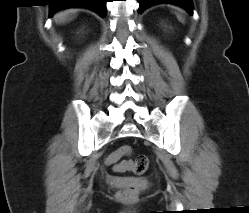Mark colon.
<instances>
[{
    "instance_id": "colon-1",
    "label": "colon",
    "mask_w": 249,
    "mask_h": 213,
    "mask_svg": "<svg viewBox=\"0 0 249 213\" xmlns=\"http://www.w3.org/2000/svg\"><path fill=\"white\" fill-rule=\"evenodd\" d=\"M130 153V146H121L108 155V157L106 158V163L113 164L114 170L118 172L131 171L136 175L143 174L149 166L148 157L141 155L138 156L134 161H119L122 156ZM138 192L139 187L135 184H131L122 188L118 192V197L123 201L131 202L136 199Z\"/></svg>"
}]
</instances>
